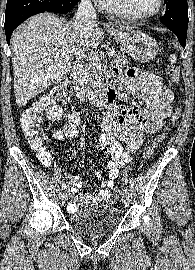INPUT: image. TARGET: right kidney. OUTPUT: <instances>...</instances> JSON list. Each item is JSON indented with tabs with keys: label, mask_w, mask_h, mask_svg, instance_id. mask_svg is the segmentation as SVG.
Segmentation results:
<instances>
[{
	"label": "right kidney",
	"mask_w": 195,
	"mask_h": 270,
	"mask_svg": "<svg viewBox=\"0 0 195 270\" xmlns=\"http://www.w3.org/2000/svg\"><path fill=\"white\" fill-rule=\"evenodd\" d=\"M62 114H63L62 108L60 106H57L56 104L46 109L47 118L52 121L61 120Z\"/></svg>",
	"instance_id": "right-kidney-1"
}]
</instances>
